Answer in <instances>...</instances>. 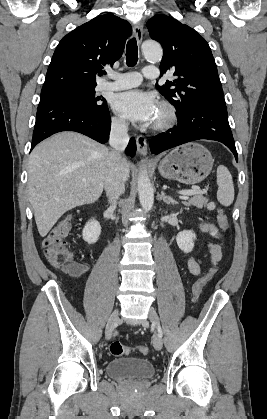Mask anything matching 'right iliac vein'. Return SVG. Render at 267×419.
I'll return each instance as SVG.
<instances>
[{
  "label": "right iliac vein",
  "instance_id": "right-iliac-vein-1",
  "mask_svg": "<svg viewBox=\"0 0 267 419\" xmlns=\"http://www.w3.org/2000/svg\"><path fill=\"white\" fill-rule=\"evenodd\" d=\"M119 321V312L118 310H114L113 313L110 315L106 328H105V338L109 340L112 336L113 330Z\"/></svg>",
  "mask_w": 267,
  "mask_h": 419
}]
</instances>
